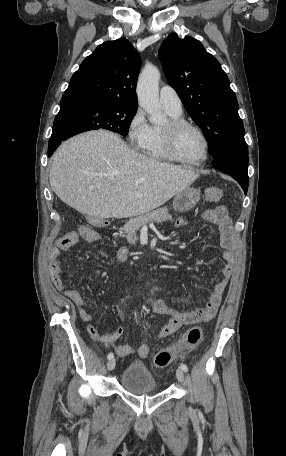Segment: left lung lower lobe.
<instances>
[{"instance_id": "left-lung-lower-lobe-1", "label": "left lung lower lobe", "mask_w": 286, "mask_h": 456, "mask_svg": "<svg viewBox=\"0 0 286 456\" xmlns=\"http://www.w3.org/2000/svg\"><path fill=\"white\" fill-rule=\"evenodd\" d=\"M213 166L232 176L243 188L248 190V153L231 152L214 159Z\"/></svg>"}]
</instances>
